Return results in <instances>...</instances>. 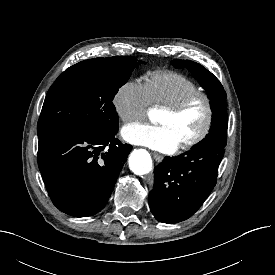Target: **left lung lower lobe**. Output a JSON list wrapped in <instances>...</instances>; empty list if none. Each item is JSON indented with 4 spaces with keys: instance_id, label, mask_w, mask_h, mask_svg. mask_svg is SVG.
I'll return each instance as SVG.
<instances>
[{
    "instance_id": "1",
    "label": "left lung lower lobe",
    "mask_w": 275,
    "mask_h": 275,
    "mask_svg": "<svg viewBox=\"0 0 275 275\" xmlns=\"http://www.w3.org/2000/svg\"><path fill=\"white\" fill-rule=\"evenodd\" d=\"M224 152L225 147L218 144H203L184 155L165 157L154 169V186L149 193L154 217L163 223L191 217L216 185Z\"/></svg>"
}]
</instances>
